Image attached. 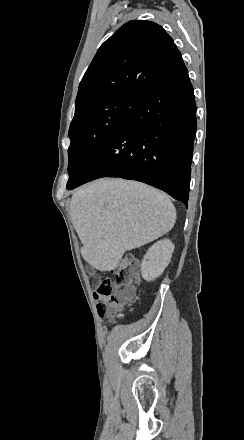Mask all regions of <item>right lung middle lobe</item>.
<instances>
[{
  "instance_id": "dd1d6c3e",
  "label": "right lung middle lobe",
  "mask_w": 244,
  "mask_h": 440,
  "mask_svg": "<svg viewBox=\"0 0 244 440\" xmlns=\"http://www.w3.org/2000/svg\"><path fill=\"white\" fill-rule=\"evenodd\" d=\"M140 98L118 95L75 106L69 129L67 188L82 175L105 142L133 112Z\"/></svg>"
}]
</instances>
